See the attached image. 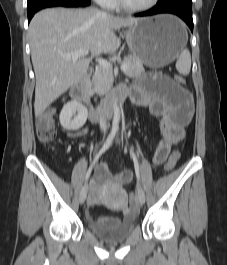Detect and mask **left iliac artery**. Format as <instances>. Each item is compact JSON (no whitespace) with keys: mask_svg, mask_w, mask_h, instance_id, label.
<instances>
[{"mask_svg":"<svg viewBox=\"0 0 227 265\" xmlns=\"http://www.w3.org/2000/svg\"><path fill=\"white\" fill-rule=\"evenodd\" d=\"M130 155H131V157L133 159V162H134L136 177H137L138 181L140 182L139 164H138L137 158L135 156V153H134V151L132 149H130Z\"/></svg>","mask_w":227,"mask_h":265,"instance_id":"left-iliac-artery-1","label":"left iliac artery"}]
</instances>
